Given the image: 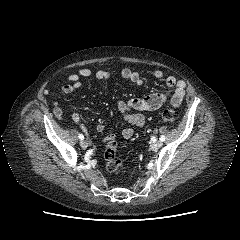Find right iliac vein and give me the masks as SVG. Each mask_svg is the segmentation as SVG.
Wrapping results in <instances>:
<instances>
[{
	"label": "right iliac vein",
	"instance_id": "obj_1",
	"mask_svg": "<svg viewBox=\"0 0 240 240\" xmlns=\"http://www.w3.org/2000/svg\"><path fill=\"white\" fill-rule=\"evenodd\" d=\"M80 145H81L82 148H87L89 146V142L86 141V140H82L80 142Z\"/></svg>",
	"mask_w": 240,
	"mask_h": 240
}]
</instances>
